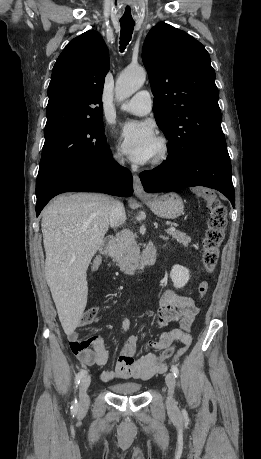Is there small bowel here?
Returning <instances> with one entry per match:
<instances>
[{
    "label": "small bowel",
    "instance_id": "c3829d8e",
    "mask_svg": "<svg viewBox=\"0 0 261 459\" xmlns=\"http://www.w3.org/2000/svg\"><path fill=\"white\" fill-rule=\"evenodd\" d=\"M102 263L100 256L94 258L93 269H97ZM199 312V308L190 296L180 295L170 289L165 290L160 298V307L156 313L154 326L158 329L165 328L171 322H178L179 327L168 332H162L158 337L148 344L149 351L139 358H136L137 342L136 335H129L125 340L118 361L113 369L101 373L103 381L114 379H146L156 370L165 369L166 366H157V352L167 348L175 340H180L183 347L179 349L177 356L182 355L191 343V336L188 330ZM131 323L125 318L122 329L129 332ZM144 327L138 329L143 332ZM73 353L78 360L86 366H104L108 362V351L104 339L99 335L87 339H80L76 329L67 331Z\"/></svg>",
    "mask_w": 261,
    "mask_h": 459
}]
</instances>
